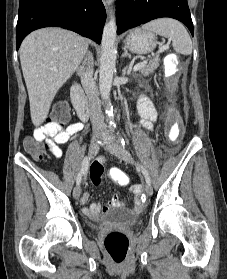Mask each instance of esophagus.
<instances>
[{
    "mask_svg": "<svg viewBox=\"0 0 227 279\" xmlns=\"http://www.w3.org/2000/svg\"><path fill=\"white\" fill-rule=\"evenodd\" d=\"M106 9L108 10L111 6L112 0H102Z\"/></svg>",
    "mask_w": 227,
    "mask_h": 279,
    "instance_id": "1",
    "label": "esophagus"
}]
</instances>
